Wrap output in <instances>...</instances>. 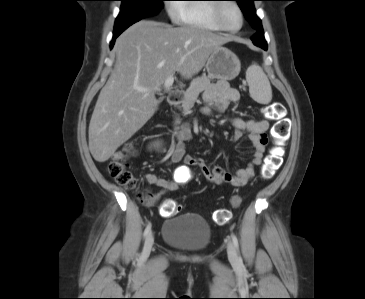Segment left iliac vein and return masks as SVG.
Listing matches in <instances>:
<instances>
[{"label": "left iliac vein", "mask_w": 365, "mask_h": 299, "mask_svg": "<svg viewBox=\"0 0 365 299\" xmlns=\"http://www.w3.org/2000/svg\"><path fill=\"white\" fill-rule=\"evenodd\" d=\"M227 254L228 259L232 264H236L238 262L236 250L232 242H229L227 245Z\"/></svg>", "instance_id": "obj_1"}]
</instances>
